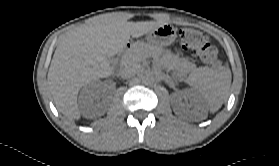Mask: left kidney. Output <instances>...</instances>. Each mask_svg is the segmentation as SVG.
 I'll use <instances>...</instances> for the list:
<instances>
[{
	"instance_id": "left-kidney-1",
	"label": "left kidney",
	"mask_w": 279,
	"mask_h": 166,
	"mask_svg": "<svg viewBox=\"0 0 279 166\" xmlns=\"http://www.w3.org/2000/svg\"><path fill=\"white\" fill-rule=\"evenodd\" d=\"M173 98L175 99V110L179 113L185 111L189 107L201 108V97L194 90L174 93ZM183 99H185L186 102H183Z\"/></svg>"
}]
</instances>
